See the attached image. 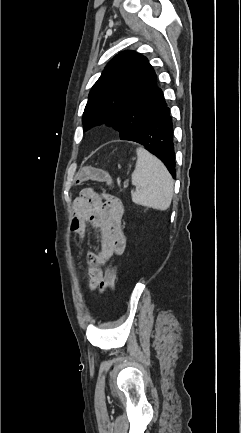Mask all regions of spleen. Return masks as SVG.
I'll return each instance as SVG.
<instances>
[{"mask_svg":"<svg viewBox=\"0 0 241 433\" xmlns=\"http://www.w3.org/2000/svg\"><path fill=\"white\" fill-rule=\"evenodd\" d=\"M136 168L132 174V201L155 210H167L173 197V179L165 165L142 147L137 149Z\"/></svg>","mask_w":241,"mask_h":433,"instance_id":"obj_1","label":"spleen"}]
</instances>
